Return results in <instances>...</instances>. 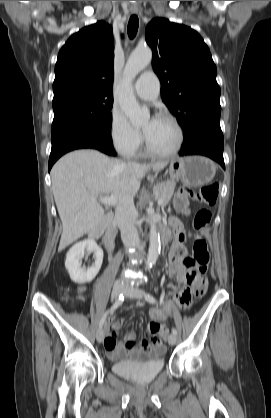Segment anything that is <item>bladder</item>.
<instances>
[{"instance_id":"31cf9c89","label":"bladder","mask_w":271,"mask_h":418,"mask_svg":"<svg viewBox=\"0 0 271 418\" xmlns=\"http://www.w3.org/2000/svg\"><path fill=\"white\" fill-rule=\"evenodd\" d=\"M165 368L163 353L153 355L143 361L119 360L114 363L113 371L122 377L140 384L153 381Z\"/></svg>"}]
</instances>
